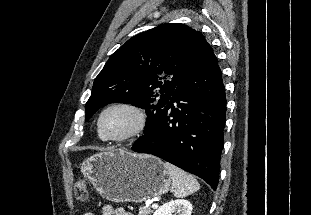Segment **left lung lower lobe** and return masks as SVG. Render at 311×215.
Returning a JSON list of instances; mask_svg holds the SVG:
<instances>
[{"instance_id": "0a47b994", "label": "left lung lower lobe", "mask_w": 311, "mask_h": 215, "mask_svg": "<svg viewBox=\"0 0 311 215\" xmlns=\"http://www.w3.org/2000/svg\"><path fill=\"white\" fill-rule=\"evenodd\" d=\"M225 113L222 73L205 41L155 122L131 149L160 157L216 190Z\"/></svg>"}]
</instances>
